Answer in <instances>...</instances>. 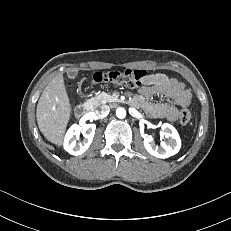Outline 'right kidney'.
<instances>
[{
    "instance_id": "1",
    "label": "right kidney",
    "mask_w": 231,
    "mask_h": 231,
    "mask_svg": "<svg viewBox=\"0 0 231 231\" xmlns=\"http://www.w3.org/2000/svg\"><path fill=\"white\" fill-rule=\"evenodd\" d=\"M96 125L86 124L83 126L74 124L72 125L66 133L64 139V149L71 155H81L83 154L91 145ZM80 133H82L85 139L82 142L77 143Z\"/></svg>"
}]
</instances>
